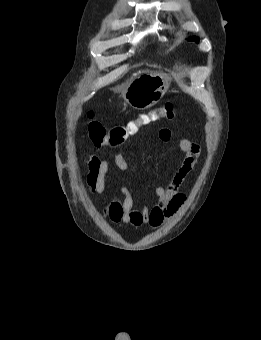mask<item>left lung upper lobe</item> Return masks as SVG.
I'll return each mask as SVG.
<instances>
[{
    "label": "left lung upper lobe",
    "instance_id": "left-lung-upper-lobe-1",
    "mask_svg": "<svg viewBox=\"0 0 261 340\" xmlns=\"http://www.w3.org/2000/svg\"><path fill=\"white\" fill-rule=\"evenodd\" d=\"M188 40H189V41H195L196 43L199 42V38L196 37V36L190 37V38H188Z\"/></svg>",
    "mask_w": 261,
    "mask_h": 340
}]
</instances>
